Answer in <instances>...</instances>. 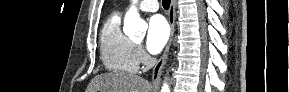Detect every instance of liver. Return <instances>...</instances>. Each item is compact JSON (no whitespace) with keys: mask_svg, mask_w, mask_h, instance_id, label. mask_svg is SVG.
<instances>
[{"mask_svg":"<svg viewBox=\"0 0 289 92\" xmlns=\"http://www.w3.org/2000/svg\"><path fill=\"white\" fill-rule=\"evenodd\" d=\"M152 85L135 75L104 73L95 76L86 92H151Z\"/></svg>","mask_w":289,"mask_h":92,"instance_id":"6515ba94","label":"liver"}]
</instances>
